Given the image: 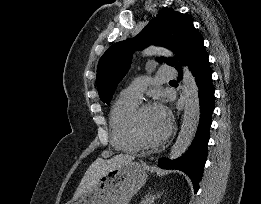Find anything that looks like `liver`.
I'll return each mask as SVG.
<instances>
[{"instance_id":"1","label":"liver","mask_w":261,"mask_h":204,"mask_svg":"<svg viewBox=\"0 0 261 204\" xmlns=\"http://www.w3.org/2000/svg\"><path fill=\"white\" fill-rule=\"evenodd\" d=\"M134 160L133 156L127 154H119L111 159H96L85 172L73 199L79 198L85 191L96 185L100 178L108 171L126 165Z\"/></svg>"}]
</instances>
